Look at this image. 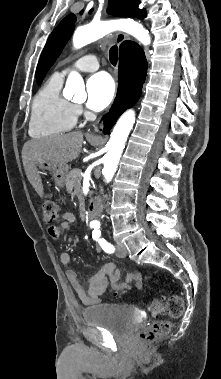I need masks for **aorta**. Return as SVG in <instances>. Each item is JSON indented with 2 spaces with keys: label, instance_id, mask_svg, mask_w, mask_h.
<instances>
[{
  "label": "aorta",
  "instance_id": "obj_1",
  "mask_svg": "<svg viewBox=\"0 0 221 379\" xmlns=\"http://www.w3.org/2000/svg\"><path fill=\"white\" fill-rule=\"evenodd\" d=\"M116 30H121L134 36L144 45H149L151 42L149 32L143 27V25L132 19H120L90 23L86 26L77 28L73 35V46L75 49H80ZM63 94L66 98H85L84 82L79 73L71 72L69 74ZM134 123V110H127L119 118L111 133L110 140L107 144L108 151L104 157V168L102 170L104 180L107 183L112 180L116 172L121 154L125 147V142Z\"/></svg>",
  "mask_w": 221,
  "mask_h": 379
}]
</instances>
